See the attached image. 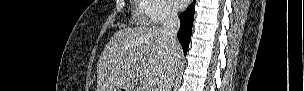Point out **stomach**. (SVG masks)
Instances as JSON below:
<instances>
[{
	"label": "stomach",
	"mask_w": 304,
	"mask_h": 91,
	"mask_svg": "<svg viewBox=\"0 0 304 91\" xmlns=\"http://www.w3.org/2000/svg\"><path fill=\"white\" fill-rule=\"evenodd\" d=\"M121 90H125V91H135L131 86L126 85L125 87H123Z\"/></svg>",
	"instance_id": "1"
}]
</instances>
